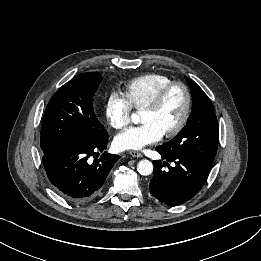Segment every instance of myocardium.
Listing matches in <instances>:
<instances>
[{"mask_svg": "<svg viewBox=\"0 0 261 261\" xmlns=\"http://www.w3.org/2000/svg\"><path fill=\"white\" fill-rule=\"evenodd\" d=\"M175 88H180L184 92L185 106L182 116L176 126L163 134V136L166 138H172L178 135L183 130L189 119L192 107V95L189 87L181 81H172L160 90L152 103L144 108L145 111L158 112L162 108L170 92Z\"/></svg>", "mask_w": 261, "mask_h": 261, "instance_id": "myocardium-1", "label": "myocardium"}]
</instances>
